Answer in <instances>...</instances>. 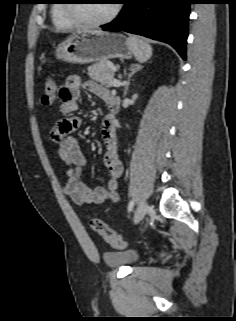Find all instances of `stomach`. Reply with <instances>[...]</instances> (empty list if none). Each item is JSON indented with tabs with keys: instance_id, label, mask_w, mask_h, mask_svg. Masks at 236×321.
Wrapping results in <instances>:
<instances>
[{
	"instance_id": "1",
	"label": "stomach",
	"mask_w": 236,
	"mask_h": 321,
	"mask_svg": "<svg viewBox=\"0 0 236 321\" xmlns=\"http://www.w3.org/2000/svg\"><path fill=\"white\" fill-rule=\"evenodd\" d=\"M132 54L133 48L122 34L92 31L73 33L55 51L57 59L78 64L128 59Z\"/></svg>"
}]
</instances>
